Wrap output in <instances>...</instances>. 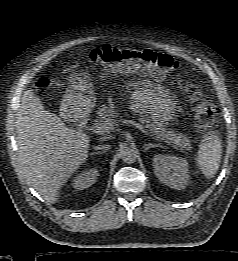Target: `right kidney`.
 I'll return each mask as SVG.
<instances>
[{"label": "right kidney", "mask_w": 238, "mask_h": 261, "mask_svg": "<svg viewBox=\"0 0 238 261\" xmlns=\"http://www.w3.org/2000/svg\"><path fill=\"white\" fill-rule=\"evenodd\" d=\"M97 176L98 172L96 169H87L75 177L73 186L78 190L86 189L96 181Z\"/></svg>", "instance_id": "1"}]
</instances>
